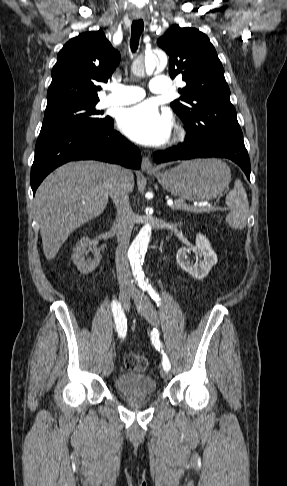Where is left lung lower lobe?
Returning a JSON list of instances; mask_svg holds the SVG:
<instances>
[{"mask_svg": "<svg viewBox=\"0 0 287 486\" xmlns=\"http://www.w3.org/2000/svg\"><path fill=\"white\" fill-rule=\"evenodd\" d=\"M208 157H222L232 160L242 168L250 180V160L244 145L218 140L204 142L199 137L190 138L186 136L184 143L179 146L157 151L153 155L156 164Z\"/></svg>", "mask_w": 287, "mask_h": 486, "instance_id": "1", "label": "left lung lower lobe"}]
</instances>
